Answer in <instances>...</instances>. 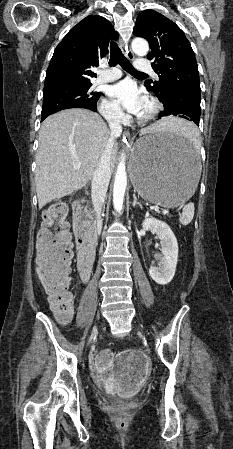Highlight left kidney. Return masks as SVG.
I'll list each match as a JSON object with an SVG mask.
<instances>
[{
	"label": "left kidney",
	"instance_id": "obj_1",
	"mask_svg": "<svg viewBox=\"0 0 233 449\" xmlns=\"http://www.w3.org/2000/svg\"><path fill=\"white\" fill-rule=\"evenodd\" d=\"M143 230H151L160 240L159 267L151 266L149 274L160 285L168 284L174 277L178 261V243L170 227L156 218H145Z\"/></svg>",
	"mask_w": 233,
	"mask_h": 449
}]
</instances>
